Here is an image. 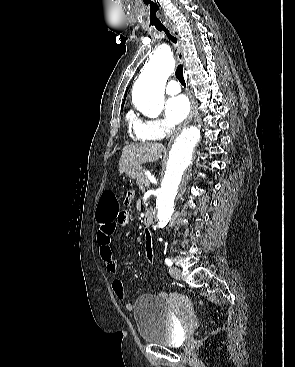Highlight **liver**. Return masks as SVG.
Wrapping results in <instances>:
<instances>
[{
	"mask_svg": "<svg viewBox=\"0 0 295 367\" xmlns=\"http://www.w3.org/2000/svg\"><path fill=\"white\" fill-rule=\"evenodd\" d=\"M164 146L160 143L131 144L123 148L119 161L120 175L133 166L156 162L161 157Z\"/></svg>",
	"mask_w": 295,
	"mask_h": 367,
	"instance_id": "obj_1",
	"label": "liver"
}]
</instances>
